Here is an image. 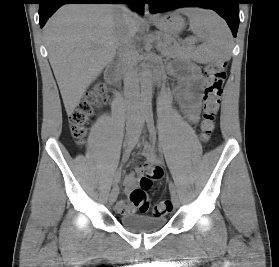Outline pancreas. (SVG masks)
Here are the masks:
<instances>
[{
  "instance_id": "1",
  "label": "pancreas",
  "mask_w": 279,
  "mask_h": 267,
  "mask_svg": "<svg viewBox=\"0 0 279 267\" xmlns=\"http://www.w3.org/2000/svg\"><path fill=\"white\" fill-rule=\"evenodd\" d=\"M190 47L186 46H167L163 45L161 52L164 56L168 58H188L190 57Z\"/></svg>"
}]
</instances>
